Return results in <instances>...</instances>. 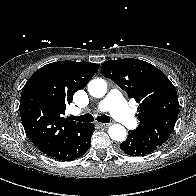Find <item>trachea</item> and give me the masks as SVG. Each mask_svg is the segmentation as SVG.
<instances>
[{
    "label": "trachea",
    "instance_id": "3493384b",
    "mask_svg": "<svg viewBox=\"0 0 196 196\" xmlns=\"http://www.w3.org/2000/svg\"><path fill=\"white\" fill-rule=\"evenodd\" d=\"M72 120H76L79 122L83 123H90L94 120L93 116L91 114H84L82 116H71L70 117ZM97 121L102 122V123H109L110 122V117L106 115H100L97 117Z\"/></svg>",
    "mask_w": 196,
    "mask_h": 196
}]
</instances>
